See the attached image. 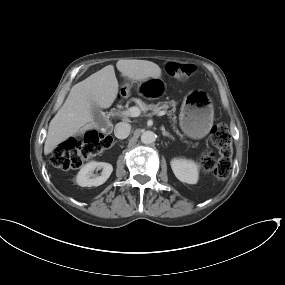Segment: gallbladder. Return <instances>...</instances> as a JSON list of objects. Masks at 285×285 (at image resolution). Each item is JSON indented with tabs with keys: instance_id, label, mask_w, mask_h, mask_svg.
Masks as SVG:
<instances>
[{
	"instance_id": "1",
	"label": "gallbladder",
	"mask_w": 285,
	"mask_h": 285,
	"mask_svg": "<svg viewBox=\"0 0 285 285\" xmlns=\"http://www.w3.org/2000/svg\"><path fill=\"white\" fill-rule=\"evenodd\" d=\"M92 114H93L95 122L106 126V122H105L104 116L102 114V111L96 104L92 105Z\"/></svg>"
}]
</instances>
